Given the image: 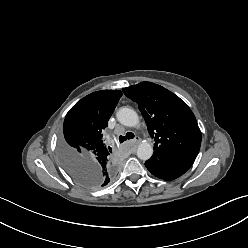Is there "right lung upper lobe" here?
<instances>
[{
  "instance_id": "1",
  "label": "right lung upper lobe",
  "mask_w": 248,
  "mask_h": 248,
  "mask_svg": "<svg viewBox=\"0 0 248 248\" xmlns=\"http://www.w3.org/2000/svg\"><path fill=\"white\" fill-rule=\"evenodd\" d=\"M121 96L120 90L93 92L78 101L65 117L60 157H80L96 170L98 177L90 187H103L117 175V161L111 155L112 149L104 144L102 132Z\"/></svg>"
}]
</instances>
